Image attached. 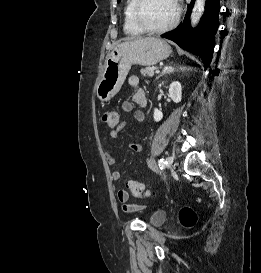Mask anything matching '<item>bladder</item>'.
Returning <instances> with one entry per match:
<instances>
[{"label":"bladder","mask_w":261,"mask_h":273,"mask_svg":"<svg viewBox=\"0 0 261 273\" xmlns=\"http://www.w3.org/2000/svg\"><path fill=\"white\" fill-rule=\"evenodd\" d=\"M166 220V214L163 211L154 212L149 219V222L153 226H159Z\"/></svg>","instance_id":"31cf9c89"}]
</instances>
